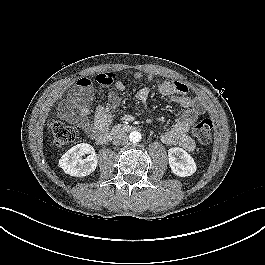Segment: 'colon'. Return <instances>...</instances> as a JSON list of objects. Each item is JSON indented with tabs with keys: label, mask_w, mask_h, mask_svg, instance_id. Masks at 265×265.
Returning <instances> with one entry per match:
<instances>
[{
	"label": "colon",
	"mask_w": 265,
	"mask_h": 265,
	"mask_svg": "<svg viewBox=\"0 0 265 265\" xmlns=\"http://www.w3.org/2000/svg\"><path fill=\"white\" fill-rule=\"evenodd\" d=\"M212 128L211 119L202 118L192 125V133L201 144L206 145L211 141ZM52 134L53 143L57 147L73 143L77 138V130L61 120H56L53 123Z\"/></svg>",
	"instance_id": "obj_1"
}]
</instances>
